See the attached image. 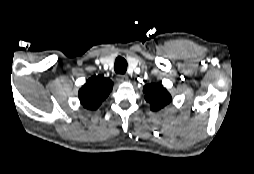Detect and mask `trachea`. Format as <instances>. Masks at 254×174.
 Masks as SVG:
<instances>
[{"mask_svg":"<svg viewBox=\"0 0 254 174\" xmlns=\"http://www.w3.org/2000/svg\"><path fill=\"white\" fill-rule=\"evenodd\" d=\"M114 70L118 74H124L127 70V61L123 57H117L115 60Z\"/></svg>","mask_w":254,"mask_h":174,"instance_id":"trachea-1","label":"trachea"}]
</instances>
